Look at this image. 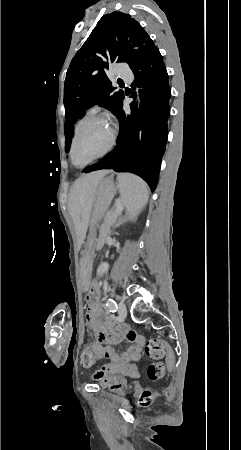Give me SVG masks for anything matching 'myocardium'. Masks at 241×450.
Wrapping results in <instances>:
<instances>
[{
	"label": "myocardium",
	"instance_id": "obj_1",
	"mask_svg": "<svg viewBox=\"0 0 241 450\" xmlns=\"http://www.w3.org/2000/svg\"><path fill=\"white\" fill-rule=\"evenodd\" d=\"M105 127L109 126L108 122L104 123ZM75 127H80V122H75ZM83 131L82 130H76V132H72L71 136L74 137L72 144L70 145V156L67 158L68 162H74V157H76V152L78 149L82 148V137H77L79 135H82ZM108 135H111L112 137H108L107 140H104V145H107V148H103V152L100 153V157H107L108 153H110V149H112V142H114V137L116 136L115 130H108L107 131ZM96 160H86V162H95Z\"/></svg>",
	"mask_w": 241,
	"mask_h": 450
}]
</instances>
